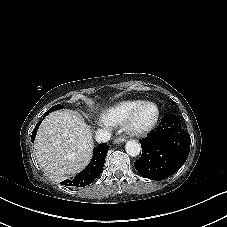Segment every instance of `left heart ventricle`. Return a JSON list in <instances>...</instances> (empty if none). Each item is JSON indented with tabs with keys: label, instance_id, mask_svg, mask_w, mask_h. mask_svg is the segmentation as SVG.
I'll use <instances>...</instances> for the list:
<instances>
[{
	"label": "left heart ventricle",
	"instance_id": "obj_1",
	"mask_svg": "<svg viewBox=\"0 0 227 227\" xmlns=\"http://www.w3.org/2000/svg\"><path fill=\"white\" fill-rule=\"evenodd\" d=\"M155 115V108L153 106H144L136 116V123L144 125L150 122Z\"/></svg>",
	"mask_w": 227,
	"mask_h": 227
}]
</instances>
